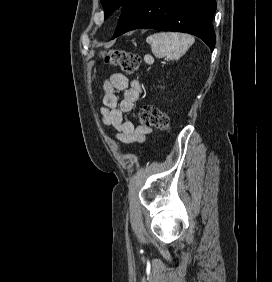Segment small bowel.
I'll return each mask as SVG.
<instances>
[{
  "label": "small bowel",
  "instance_id": "small-bowel-1",
  "mask_svg": "<svg viewBox=\"0 0 272 282\" xmlns=\"http://www.w3.org/2000/svg\"><path fill=\"white\" fill-rule=\"evenodd\" d=\"M117 93L122 94L121 100ZM141 84L138 80L129 81L123 73H112L103 82L101 91V121L116 131V138L123 144L142 143L151 132V126H135L131 121H124V114L130 112L139 99Z\"/></svg>",
  "mask_w": 272,
  "mask_h": 282
}]
</instances>
